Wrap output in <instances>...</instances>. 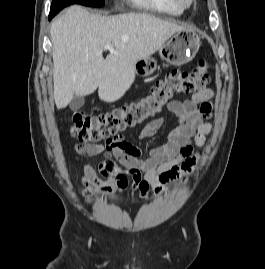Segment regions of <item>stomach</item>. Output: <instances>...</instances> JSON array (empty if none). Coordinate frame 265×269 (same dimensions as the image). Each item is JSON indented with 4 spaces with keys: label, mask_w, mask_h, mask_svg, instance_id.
<instances>
[{
    "label": "stomach",
    "mask_w": 265,
    "mask_h": 269,
    "mask_svg": "<svg viewBox=\"0 0 265 269\" xmlns=\"http://www.w3.org/2000/svg\"><path fill=\"white\" fill-rule=\"evenodd\" d=\"M201 45L199 35L191 29H183L174 33L159 49L160 57L173 66L183 65L192 60ZM157 68L156 60L152 57L138 60L134 71L140 76H150Z\"/></svg>",
    "instance_id": "stomach-1"
}]
</instances>
